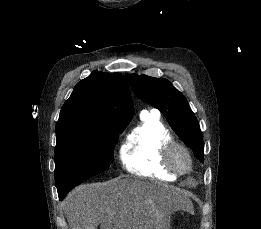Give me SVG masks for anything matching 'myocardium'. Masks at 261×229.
I'll return each instance as SVG.
<instances>
[{"label":"myocardium","mask_w":261,"mask_h":229,"mask_svg":"<svg viewBox=\"0 0 261 229\" xmlns=\"http://www.w3.org/2000/svg\"><path fill=\"white\" fill-rule=\"evenodd\" d=\"M178 152L184 154L186 165L184 167L177 166L175 157ZM164 163L176 175H183L188 173L192 168V157L188 147L177 141H172L164 147Z\"/></svg>","instance_id":"obj_1"}]
</instances>
